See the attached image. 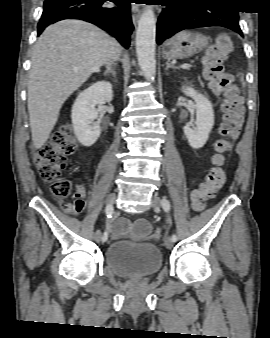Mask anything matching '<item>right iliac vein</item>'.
I'll use <instances>...</instances> for the list:
<instances>
[{"label": "right iliac vein", "instance_id": "63e3f726", "mask_svg": "<svg viewBox=\"0 0 270 338\" xmlns=\"http://www.w3.org/2000/svg\"><path fill=\"white\" fill-rule=\"evenodd\" d=\"M116 194L115 193H112L110 194L108 197H107V204L108 205H111V204H114V202L116 201ZM94 240L96 242H100L101 241V232L100 230H97L95 233H94Z\"/></svg>", "mask_w": 270, "mask_h": 338}]
</instances>
